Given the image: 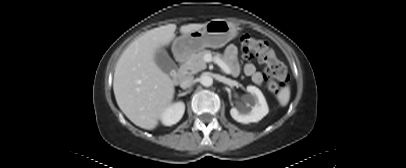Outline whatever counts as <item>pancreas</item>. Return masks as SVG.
I'll list each match as a JSON object with an SVG mask.
<instances>
[{
    "instance_id": "pancreas-1",
    "label": "pancreas",
    "mask_w": 406,
    "mask_h": 168,
    "mask_svg": "<svg viewBox=\"0 0 406 168\" xmlns=\"http://www.w3.org/2000/svg\"><path fill=\"white\" fill-rule=\"evenodd\" d=\"M206 54H214L216 57L221 58V54L219 53H212L210 50H202L198 53L191 54L187 61L181 66L180 72L183 74H195L199 71L206 69L207 65L204 60Z\"/></svg>"
}]
</instances>
